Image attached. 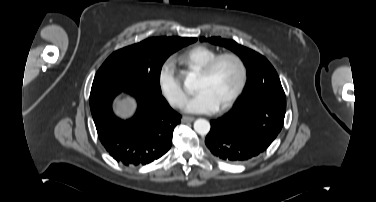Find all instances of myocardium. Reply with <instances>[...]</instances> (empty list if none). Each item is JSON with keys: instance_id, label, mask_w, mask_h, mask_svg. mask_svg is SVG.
<instances>
[{"instance_id": "f54148a6", "label": "myocardium", "mask_w": 376, "mask_h": 202, "mask_svg": "<svg viewBox=\"0 0 376 202\" xmlns=\"http://www.w3.org/2000/svg\"><path fill=\"white\" fill-rule=\"evenodd\" d=\"M224 59H231L233 60L239 69V82L232 93V95L229 97V99L220 107H218V111H226L229 109L239 98V96L242 94L248 80V69L245 61L242 57H240L238 54L233 52H227V53H221L216 55L214 58H212L210 61H208L199 71L198 75L201 77H209L218 63Z\"/></svg>"}]
</instances>
